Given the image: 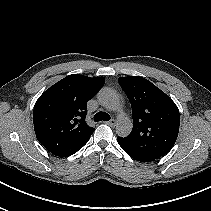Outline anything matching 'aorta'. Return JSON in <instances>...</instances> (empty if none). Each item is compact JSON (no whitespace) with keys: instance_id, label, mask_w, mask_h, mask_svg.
<instances>
[{"instance_id":"obj_1","label":"aorta","mask_w":211,"mask_h":211,"mask_svg":"<svg viewBox=\"0 0 211 211\" xmlns=\"http://www.w3.org/2000/svg\"><path fill=\"white\" fill-rule=\"evenodd\" d=\"M98 101L106 109L118 111L116 133L121 137L128 136L132 130V122L124 113L119 112L120 101L117 94L112 89L104 88L98 94Z\"/></svg>"}]
</instances>
